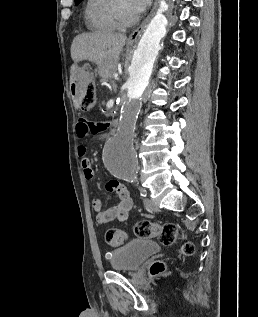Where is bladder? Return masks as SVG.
Wrapping results in <instances>:
<instances>
[{
	"instance_id": "obj_1",
	"label": "bladder",
	"mask_w": 258,
	"mask_h": 317,
	"mask_svg": "<svg viewBox=\"0 0 258 317\" xmlns=\"http://www.w3.org/2000/svg\"><path fill=\"white\" fill-rule=\"evenodd\" d=\"M159 251L154 241L134 239L110 253V266L116 271H133Z\"/></svg>"
}]
</instances>
